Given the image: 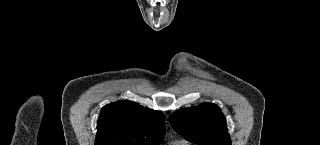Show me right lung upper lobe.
<instances>
[{
	"label": "right lung upper lobe",
	"instance_id": "right-lung-upper-lobe-1",
	"mask_svg": "<svg viewBox=\"0 0 320 145\" xmlns=\"http://www.w3.org/2000/svg\"><path fill=\"white\" fill-rule=\"evenodd\" d=\"M165 115L122 100L101 109L95 145H157L164 137Z\"/></svg>",
	"mask_w": 320,
	"mask_h": 145
}]
</instances>
